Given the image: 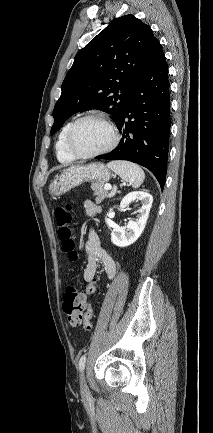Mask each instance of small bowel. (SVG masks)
<instances>
[{
	"label": "small bowel",
	"instance_id": "1",
	"mask_svg": "<svg viewBox=\"0 0 213 433\" xmlns=\"http://www.w3.org/2000/svg\"><path fill=\"white\" fill-rule=\"evenodd\" d=\"M84 207L87 215L92 216L99 212V207L90 201H87ZM83 252L87 259V265L83 272V281L86 284L87 293L94 294L100 284V278L97 275L98 268L101 267L107 278L112 280L116 275V263L113 258L101 247L99 237L93 229L88 231ZM92 313V308L90 305H88V320L91 319Z\"/></svg>",
	"mask_w": 213,
	"mask_h": 433
}]
</instances>
